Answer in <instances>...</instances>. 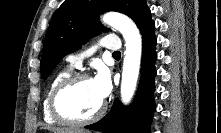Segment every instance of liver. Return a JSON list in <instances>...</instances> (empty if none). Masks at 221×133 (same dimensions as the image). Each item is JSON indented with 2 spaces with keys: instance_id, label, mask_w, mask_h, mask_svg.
Here are the masks:
<instances>
[{
  "instance_id": "6515ba94",
  "label": "liver",
  "mask_w": 221,
  "mask_h": 133,
  "mask_svg": "<svg viewBox=\"0 0 221 133\" xmlns=\"http://www.w3.org/2000/svg\"><path fill=\"white\" fill-rule=\"evenodd\" d=\"M50 130L53 133H89L88 131L76 130L71 128H51Z\"/></svg>"
}]
</instances>
